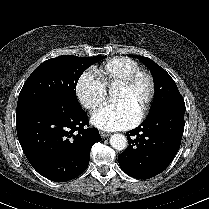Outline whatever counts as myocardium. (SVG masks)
Instances as JSON below:
<instances>
[{"label": "myocardium", "mask_w": 209, "mask_h": 209, "mask_svg": "<svg viewBox=\"0 0 209 209\" xmlns=\"http://www.w3.org/2000/svg\"><path fill=\"white\" fill-rule=\"evenodd\" d=\"M140 77H144L148 81L149 92H148L146 102H145L142 110L138 114L137 121H139V122L141 120H143L146 117V115L149 113V111L151 109V106L153 104V101L155 99L156 82H155V79H154L153 75L145 69L138 68V69L134 70L133 72H131L124 80H122L116 86L117 88H120V89H129L134 85V83Z\"/></svg>", "instance_id": "f54148a6"}]
</instances>
